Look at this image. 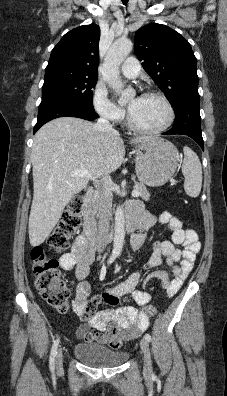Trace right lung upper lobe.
<instances>
[{"label":"right lung upper lobe","instance_id":"obj_1","mask_svg":"<svg viewBox=\"0 0 227 396\" xmlns=\"http://www.w3.org/2000/svg\"><path fill=\"white\" fill-rule=\"evenodd\" d=\"M100 29L83 25L66 33L53 48L46 71H70L98 76Z\"/></svg>","mask_w":227,"mask_h":396}]
</instances>
